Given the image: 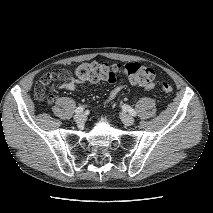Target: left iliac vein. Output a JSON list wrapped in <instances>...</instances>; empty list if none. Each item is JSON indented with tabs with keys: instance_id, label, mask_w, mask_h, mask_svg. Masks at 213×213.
Masks as SVG:
<instances>
[{
	"instance_id": "obj_1",
	"label": "left iliac vein",
	"mask_w": 213,
	"mask_h": 213,
	"mask_svg": "<svg viewBox=\"0 0 213 213\" xmlns=\"http://www.w3.org/2000/svg\"><path fill=\"white\" fill-rule=\"evenodd\" d=\"M120 118L122 120V122L127 125V126H130L134 123V118L131 117L130 115L128 114H125V113H121L120 114Z\"/></svg>"
}]
</instances>
